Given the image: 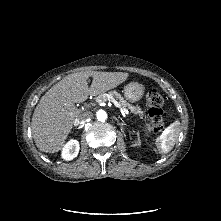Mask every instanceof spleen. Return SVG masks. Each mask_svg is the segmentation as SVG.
<instances>
[{
  "instance_id": "3e777b00",
  "label": "spleen",
  "mask_w": 221,
  "mask_h": 221,
  "mask_svg": "<svg viewBox=\"0 0 221 221\" xmlns=\"http://www.w3.org/2000/svg\"><path fill=\"white\" fill-rule=\"evenodd\" d=\"M179 124V120H175L157 138V148L161 154H166L170 152L174 147L177 139V130Z\"/></svg>"
}]
</instances>
